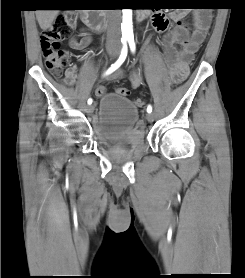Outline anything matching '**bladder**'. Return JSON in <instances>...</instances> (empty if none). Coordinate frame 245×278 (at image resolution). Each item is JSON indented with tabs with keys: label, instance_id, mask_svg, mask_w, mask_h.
<instances>
[{
	"label": "bladder",
	"instance_id": "31cf9c89",
	"mask_svg": "<svg viewBox=\"0 0 245 278\" xmlns=\"http://www.w3.org/2000/svg\"><path fill=\"white\" fill-rule=\"evenodd\" d=\"M94 135L105 146L134 148L145 141L139 111L127 97L109 92L102 96Z\"/></svg>",
	"mask_w": 245,
	"mask_h": 278
}]
</instances>
